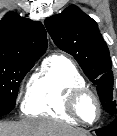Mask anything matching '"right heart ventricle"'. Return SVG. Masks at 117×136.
<instances>
[{
  "label": "right heart ventricle",
  "instance_id": "obj_1",
  "mask_svg": "<svg viewBox=\"0 0 117 136\" xmlns=\"http://www.w3.org/2000/svg\"><path fill=\"white\" fill-rule=\"evenodd\" d=\"M86 86L75 63L62 54L47 57L32 76L23 104L27 115L46 116L77 124L65 109L68 93Z\"/></svg>",
  "mask_w": 117,
  "mask_h": 136
}]
</instances>
